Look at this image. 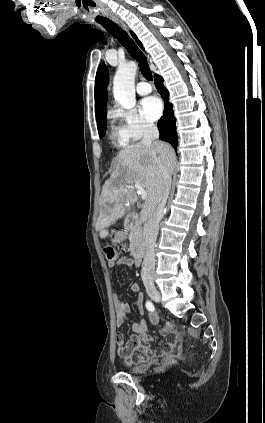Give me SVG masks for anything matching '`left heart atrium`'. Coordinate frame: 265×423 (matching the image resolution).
<instances>
[{
    "label": "left heart atrium",
    "instance_id": "1",
    "mask_svg": "<svg viewBox=\"0 0 265 423\" xmlns=\"http://www.w3.org/2000/svg\"><path fill=\"white\" fill-rule=\"evenodd\" d=\"M142 114L149 120H157L163 111V105L159 98L156 96H148L140 103Z\"/></svg>",
    "mask_w": 265,
    "mask_h": 423
}]
</instances>
